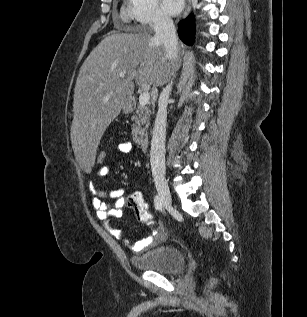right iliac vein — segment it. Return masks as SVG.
Instances as JSON below:
<instances>
[{"mask_svg":"<svg viewBox=\"0 0 307 317\" xmlns=\"http://www.w3.org/2000/svg\"><path fill=\"white\" fill-rule=\"evenodd\" d=\"M156 189L163 205L167 208L171 206L172 197L168 183L164 176H155L154 178Z\"/></svg>","mask_w":307,"mask_h":317,"instance_id":"1","label":"right iliac vein"}]
</instances>
